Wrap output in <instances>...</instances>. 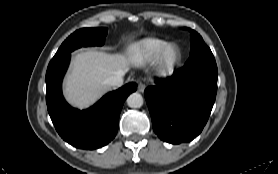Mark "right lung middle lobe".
<instances>
[{
	"label": "right lung middle lobe",
	"mask_w": 278,
	"mask_h": 174,
	"mask_svg": "<svg viewBox=\"0 0 278 174\" xmlns=\"http://www.w3.org/2000/svg\"><path fill=\"white\" fill-rule=\"evenodd\" d=\"M107 32V28H83L75 31L62 43L52 60L83 46H102Z\"/></svg>",
	"instance_id": "dd1d6c3e"
}]
</instances>
